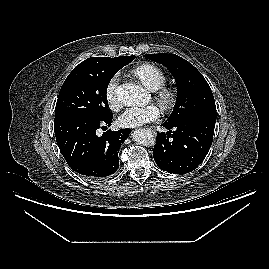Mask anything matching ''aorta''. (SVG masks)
<instances>
[{
	"label": "aorta",
	"mask_w": 269,
	"mask_h": 269,
	"mask_svg": "<svg viewBox=\"0 0 269 269\" xmlns=\"http://www.w3.org/2000/svg\"><path fill=\"white\" fill-rule=\"evenodd\" d=\"M117 99L125 106H135L144 100V89L133 83H125L115 89ZM133 140L143 146H153L154 135L147 129H137L132 134Z\"/></svg>",
	"instance_id": "762f6f07"
}]
</instances>
